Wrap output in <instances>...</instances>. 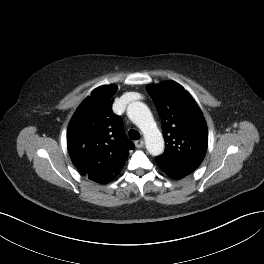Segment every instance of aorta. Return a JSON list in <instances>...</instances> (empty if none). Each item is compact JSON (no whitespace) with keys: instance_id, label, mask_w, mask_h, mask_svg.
I'll return each mask as SVG.
<instances>
[{"instance_id":"obj_1","label":"aorta","mask_w":264,"mask_h":264,"mask_svg":"<svg viewBox=\"0 0 264 264\" xmlns=\"http://www.w3.org/2000/svg\"><path fill=\"white\" fill-rule=\"evenodd\" d=\"M127 115L142 131L148 152L153 156L162 154L164 139L147 105L139 101L132 102L127 107Z\"/></svg>"}]
</instances>
